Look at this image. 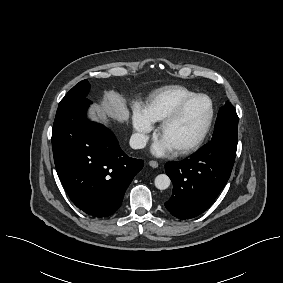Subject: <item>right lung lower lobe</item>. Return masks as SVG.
I'll use <instances>...</instances> for the list:
<instances>
[{
	"label": "right lung lower lobe",
	"mask_w": 283,
	"mask_h": 283,
	"mask_svg": "<svg viewBox=\"0 0 283 283\" xmlns=\"http://www.w3.org/2000/svg\"><path fill=\"white\" fill-rule=\"evenodd\" d=\"M90 103L83 98L58 107L52 148L57 174L73 203L89 215L106 217L120 207L144 163L127 156L109 129L86 118Z\"/></svg>",
	"instance_id": "98d812e1"
}]
</instances>
